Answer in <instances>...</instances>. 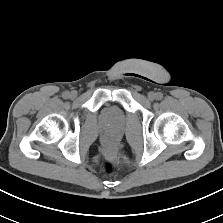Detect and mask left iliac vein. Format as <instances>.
<instances>
[{"label": "left iliac vein", "mask_w": 223, "mask_h": 223, "mask_svg": "<svg viewBox=\"0 0 223 223\" xmlns=\"http://www.w3.org/2000/svg\"><path fill=\"white\" fill-rule=\"evenodd\" d=\"M156 98V94L154 92H149L148 93V99L150 101H153Z\"/></svg>", "instance_id": "1"}]
</instances>
